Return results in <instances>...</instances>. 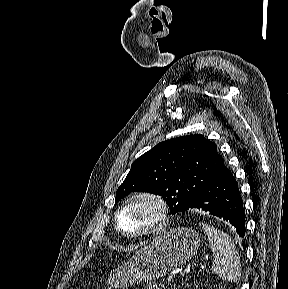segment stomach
<instances>
[{
    "mask_svg": "<svg viewBox=\"0 0 288 289\" xmlns=\"http://www.w3.org/2000/svg\"><path fill=\"white\" fill-rule=\"evenodd\" d=\"M200 246V236L192 228L173 227L162 233L135 256L110 274L108 289H122L149 282L190 260Z\"/></svg>",
    "mask_w": 288,
    "mask_h": 289,
    "instance_id": "1",
    "label": "stomach"
}]
</instances>
